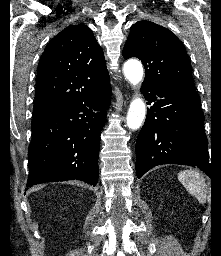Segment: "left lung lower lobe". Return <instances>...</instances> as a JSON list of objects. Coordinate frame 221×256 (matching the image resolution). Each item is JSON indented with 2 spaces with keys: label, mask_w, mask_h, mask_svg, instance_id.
Masks as SVG:
<instances>
[{
  "label": "left lung lower lobe",
  "mask_w": 221,
  "mask_h": 256,
  "mask_svg": "<svg viewBox=\"0 0 221 256\" xmlns=\"http://www.w3.org/2000/svg\"><path fill=\"white\" fill-rule=\"evenodd\" d=\"M148 104L145 123L136 140V175L162 164L197 166L209 173L204 114L195 91L142 85Z\"/></svg>",
  "instance_id": "obj_1"
}]
</instances>
